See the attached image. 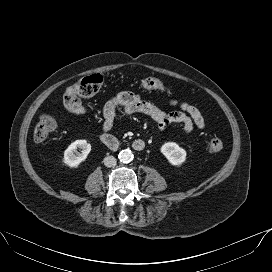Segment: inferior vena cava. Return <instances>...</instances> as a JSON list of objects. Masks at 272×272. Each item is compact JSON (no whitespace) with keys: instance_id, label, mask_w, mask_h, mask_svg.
Masks as SVG:
<instances>
[{"instance_id":"602c4592","label":"inferior vena cava","mask_w":272,"mask_h":272,"mask_svg":"<svg viewBox=\"0 0 272 272\" xmlns=\"http://www.w3.org/2000/svg\"><path fill=\"white\" fill-rule=\"evenodd\" d=\"M103 162H104V165L106 167H113L117 163L116 158L114 156H107V157H105L104 160H103Z\"/></svg>"}]
</instances>
